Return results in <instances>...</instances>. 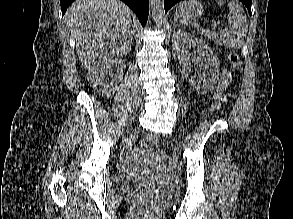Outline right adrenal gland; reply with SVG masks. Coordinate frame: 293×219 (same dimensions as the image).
I'll return each instance as SVG.
<instances>
[{
	"label": "right adrenal gland",
	"mask_w": 293,
	"mask_h": 219,
	"mask_svg": "<svg viewBox=\"0 0 293 219\" xmlns=\"http://www.w3.org/2000/svg\"><path fill=\"white\" fill-rule=\"evenodd\" d=\"M133 35H134V31L132 30V37H131V39H133Z\"/></svg>",
	"instance_id": "obj_1"
}]
</instances>
